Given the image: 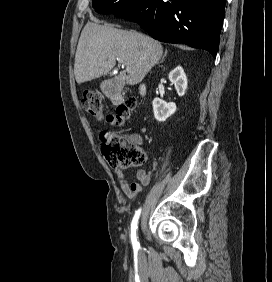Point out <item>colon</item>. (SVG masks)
I'll use <instances>...</instances> for the list:
<instances>
[{"label":"colon","mask_w":272,"mask_h":282,"mask_svg":"<svg viewBox=\"0 0 272 282\" xmlns=\"http://www.w3.org/2000/svg\"><path fill=\"white\" fill-rule=\"evenodd\" d=\"M82 104L92 116L105 120L115 126H123L129 122L136 108L135 99H129L120 105L115 112L108 111L99 93L87 91L83 94ZM102 155L113 169L128 170L142 165L146 155L140 145L112 130H103L100 135Z\"/></svg>","instance_id":"colon-1"}]
</instances>
